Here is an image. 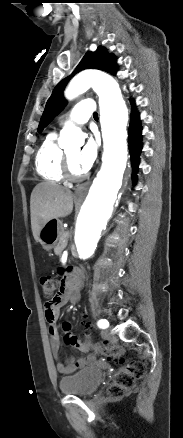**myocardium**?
I'll return each mask as SVG.
<instances>
[{
    "label": "myocardium",
    "instance_id": "obj_1",
    "mask_svg": "<svg viewBox=\"0 0 183 438\" xmlns=\"http://www.w3.org/2000/svg\"><path fill=\"white\" fill-rule=\"evenodd\" d=\"M62 172H63V177L69 181H80V180H83L87 176L86 172H84L82 174H76L72 171L70 160L67 156V153H64V155H63Z\"/></svg>",
    "mask_w": 183,
    "mask_h": 438
}]
</instances>
